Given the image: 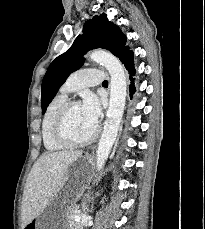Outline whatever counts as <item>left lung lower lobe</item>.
I'll use <instances>...</instances> for the list:
<instances>
[{"instance_id": "0a47b994", "label": "left lung lower lobe", "mask_w": 205, "mask_h": 229, "mask_svg": "<svg viewBox=\"0 0 205 229\" xmlns=\"http://www.w3.org/2000/svg\"><path fill=\"white\" fill-rule=\"evenodd\" d=\"M118 57H119L120 61L125 65V68L129 71L130 80H131V85L129 86V89H130V97L132 98V95L136 91L135 86H134V79L132 78V76L135 75L133 52H132V50H129V47L127 46L125 49H123L120 52Z\"/></svg>"}]
</instances>
